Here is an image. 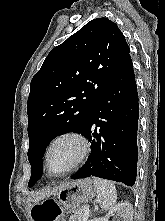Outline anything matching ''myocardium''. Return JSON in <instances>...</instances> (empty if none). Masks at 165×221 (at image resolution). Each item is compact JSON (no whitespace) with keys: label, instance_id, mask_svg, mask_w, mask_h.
<instances>
[{"label":"myocardium","instance_id":"1","mask_svg":"<svg viewBox=\"0 0 165 221\" xmlns=\"http://www.w3.org/2000/svg\"><path fill=\"white\" fill-rule=\"evenodd\" d=\"M66 138H71V139H74L78 142V144L80 146L79 156L76 159V161L74 162V164L71 167H69L68 169L61 171V172H54L51 169L50 164H49V153H50L52 147L57 142H59L60 140L66 139ZM89 153H90V144H89L87 137L83 133H81L77 130H67V131L61 132L58 135H56L49 142V144L45 150L44 160H45L47 172L52 176H64V175L70 174L73 171L77 170L82 165V163L88 157Z\"/></svg>","mask_w":165,"mask_h":221}]
</instances>
